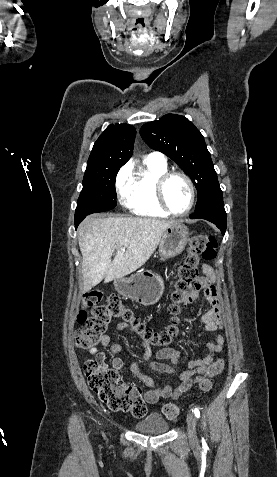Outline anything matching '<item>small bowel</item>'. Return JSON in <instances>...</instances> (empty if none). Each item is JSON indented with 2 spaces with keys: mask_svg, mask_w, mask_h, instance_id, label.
<instances>
[{
  "mask_svg": "<svg viewBox=\"0 0 277 477\" xmlns=\"http://www.w3.org/2000/svg\"><path fill=\"white\" fill-rule=\"evenodd\" d=\"M204 276L200 281V288L202 290L206 300L209 303V308L203 314L201 321L206 331L217 332L223 327L221 300L218 290L216 288V274L214 269L205 264L203 265ZM197 299L196 294L188 302L193 303ZM118 329L129 328L128 324L121 323L117 326ZM201 336L202 334H198ZM224 338L216 334L214 341L207 343L208 354L202 359L192 360L188 363V369L181 373H178L173 365L162 362L163 360H170L172 364H176L181 356L182 352L176 348H163L156 353L155 360L150 362V368L160 373L173 374L179 381L177 385H166L164 387H157L154 380L139 370L137 362L132 363L131 371L135 374L149 390L145 393V400L150 404H155L161 399H177L186 393L194 383V377L197 374H204L211 366L216 353L220 352L224 345ZM101 344L103 347H109L112 355V367L118 373V375L124 373V362L119 356L122 349L120 344H111L109 335H104ZM144 355L143 359L149 361L151 358V349L148 343L144 342ZM90 354L98 359H105L103 352L99 351L97 347H92L89 350Z\"/></svg>",
  "mask_w": 277,
  "mask_h": 477,
  "instance_id": "1",
  "label": "small bowel"
}]
</instances>
